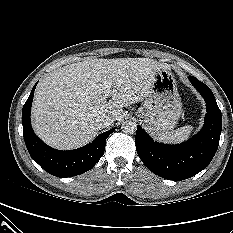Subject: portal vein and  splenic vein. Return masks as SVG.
<instances>
[{"instance_id":"1","label":"portal vein and splenic vein","mask_w":233,"mask_h":233,"mask_svg":"<svg viewBox=\"0 0 233 233\" xmlns=\"http://www.w3.org/2000/svg\"><path fill=\"white\" fill-rule=\"evenodd\" d=\"M112 84L113 83L110 80L104 81V93H103L104 98H107L110 95Z\"/></svg>"}]
</instances>
